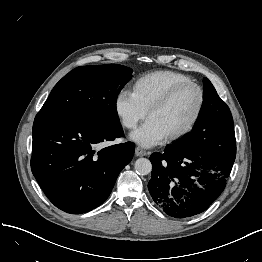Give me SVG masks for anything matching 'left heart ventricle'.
Instances as JSON below:
<instances>
[{"instance_id": "left-heart-ventricle-1", "label": "left heart ventricle", "mask_w": 262, "mask_h": 262, "mask_svg": "<svg viewBox=\"0 0 262 262\" xmlns=\"http://www.w3.org/2000/svg\"><path fill=\"white\" fill-rule=\"evenodd\" d=\"M199 96L197 91L186 88L180 91L168 105L154 112L149 118L153 119L166 136L183 129L193 117Z\"/></svg>"}]
</instances>
